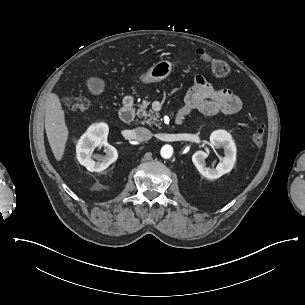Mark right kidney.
<instances>
[{"instance_id": "1", "label": "right kidney", "mask_w": 305, "mask_h": 305, "mask_svg": "<svg viewBox=\"0 0 305 305\" xmlns=\"http://www.w3.org/2000/svg\"><path fill=\"white\" fill-rule=\"evenodd\" d=\"M107 132L106 125L93 127V129L88 130L77 144V158L90 172L104 171L118 158L117 150L105 142ZM97 147L104 148L105 156L93 153V149Z\"/></svg>"}]
</instances>
